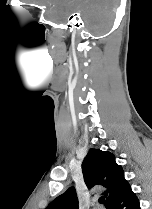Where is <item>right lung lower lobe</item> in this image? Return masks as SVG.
<instances>
[{"label": "right lung lower lobe", "instance_id": "98d812e1", "mask_svg": "<svg viewBox=\"0 0 152 209\" xmlns=\"http://www.w3.org/2000/svg\"><path fill=\"white\" fill-rule=\"evenodd\" d=\"M107 209H141L139 206V201L136 195L132 192L131 187H129L118 196Z\"/></svg>", "mask_w": 152, "mask_h": 209}]
</instances>
